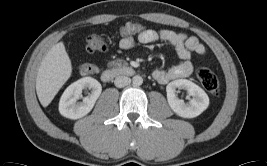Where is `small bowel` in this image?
<instances>
[{
  "label": "small bowel",
  "mask_w": 267,
  "mask_h": 166,
  "mask_svg": "<svg viewBox=\"0 0 267 166\" xmlns=\"http://www.w3.org/2000/svg\"><path fill=\"white\" fill-rule=\"evenodd\" d=\"M131 24V23H130ZM139 43H169L175 47L180 63L169 69L157 68L153 71V78L161 83L167 84L170 81L189 77L193 72V64L190 61L191 54L204 55L206 49L196 37H188L184 33L175 32L169 29L152 30L145 29L136 33H130L127 37L121 38L119 46L122 50H130L135 45V37Z\"/></svg>",
  "instance_id": "obj_1"
}]
</instances>
